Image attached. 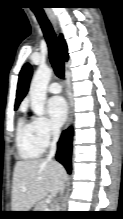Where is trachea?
Segmentation results:
<instances>
[{
  "label": "trachea",
  "instance_id": "trachea-1",
  "mask_svg": "<svg viewBox=\"0 0 123 219\" xmlns=\"http://www.w3.org/2000/svg\"><path fill=\"white\" fill-rule=\"evenodd\" d=\"M34 13L39 24L41 25L46 42L48 44L50 61L55 71V74L57 75V77L63 78L64 62L61 56L56 34L44 11H34Z\"/></svg>",
  "mask_w": 123,
  "mask_h": 219
}]
</instances>
